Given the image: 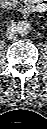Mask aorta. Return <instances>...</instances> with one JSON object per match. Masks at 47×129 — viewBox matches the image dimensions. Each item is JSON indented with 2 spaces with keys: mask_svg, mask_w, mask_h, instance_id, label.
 I'll return each mask as SVG.
<instances>
[{
  "mask_svg": "<svg viewBox=\"0 0 47 129\" xmlns=\"http://www.w3.org/2000/svg\"><path fill=\"white\" fill-rule=\"evenodd\" d=\"M16 31L19 35L25 36L31 31V25L28 21H20L17 23Z\"/></svg>",
  "mask_w": 47,
  "mask_h": 129,
  "instance_id": "762f6f07",
  "label": "aorta"
}]
</instances>
